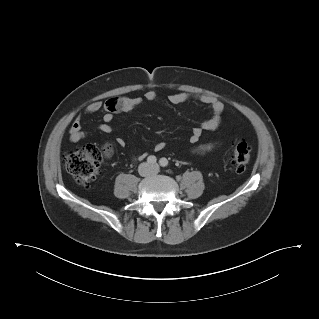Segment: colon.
Wrapping results in <instances>:
<instances>
[{
  "label": "colon",
  "mask_w": 319,
  "mask_h": 319,
  "mask_svg": "<svg viewBox=\"0 0 319 319\" xmlns=\"http://www.w3.org/2000/svg\"><path fill=\"white\" fill-rule=\"evenodd\" d=\"M117 103V99L109 101L110 106ZM110 151L108 145L103 148L86 145L66 154L63 158V165L79 184L89 186L97 177L99 168ZM250 156V146L245 141H236L231 150L232 168L238 173L244 172Z\"/></svg>",
  "instance_id": "5ec220e1"
}]
</instances>
